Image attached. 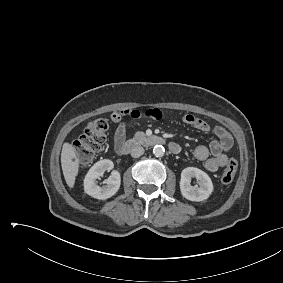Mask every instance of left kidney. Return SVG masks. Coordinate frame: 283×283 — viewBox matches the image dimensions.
Returning a JSON list of instances; mask_svg holds the SVG:
<instances>
[{"label":"left kidney","mask_w":283,"mask_h":283,"mask_svg":"<svg viewBox=\"0 0 283 283\" xmlns=\"http://www.w3.org/2000/svg\"><path fill=\"white\" fill-rule=\"evenodd\" d=\"M192 178H196L199 186H191ZM180 190L183 197L190 201L206 200L213 192V184L207 173L195 168L187 167L181 172Z\"/></svg>","instance_id":"obj_1"}]
</instances>
